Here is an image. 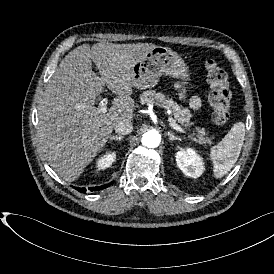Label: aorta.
<instances>
[{
  "label": "aorta",
  "instance_id": "aorta-1",
  "mask_svg": "<svg viewBox=\"0 0 274 274\" xmlns=\"http://www.w3.org/2000/svg\"><path fill=\"white\" fill-rule=\"evenodd\" d=\"M141 142L145 147L156 148L161 142V136L158 131L149 130L143 134Z\"/></svg>",
  "mask_w": 274,
  "mask_h": 274
}]
</instances>
